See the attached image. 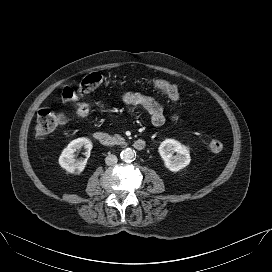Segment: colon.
Wrapping results in <instances>:
<instances>
[{"mask_svg":"<svg viewBox=\"0 0 272 272\" xmlns=\"http://www.w3.org/2000/svg\"><path fill=\"white\" fill-rule=\"evenodd\" d=\"M102 83V76L93 73L85 77L77 88L65 87L62 91V102L66 107L71 108L79 117H85L90 113L89 105L82 101L79 95H90L94 93ZM152 86L163 91L172 100L180 99V91L167 81L156 79L151 82ZM66 116L63 111H55L49 108H42L38 111L35 124V136L43 138L52 133L59 126L65 124ZM224 144L219 139H213L209 143V149L213 153H220Z\"/></svg>","mask_w":272,"mask_h":272,"instance_id":"obj_1","label":"colon"}]
</instances>
